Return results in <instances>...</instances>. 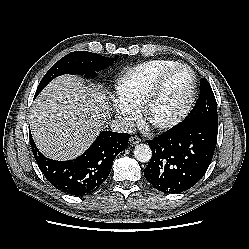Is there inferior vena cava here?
Returning <instances> with one entry per match:
<instances>
[{
  "mask_svg": "<svg viewBox=\"0 0 249 249\" xmlns=\"http://www.w3.org/2000/svg\"><path fill=\"white\" fill-rule=\"evenodd\" d=\"M111 130L118 133H132L134 130V125L125 120L117 119L110 123Z\"/></svg>",
  "mask_w": 249,
  "mask_h": 249,
  "instance_id": "602c4592",
  "label": "inferior vena cava"
}]
</instances>
